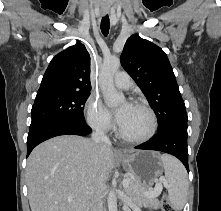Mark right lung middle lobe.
<instances>
[{
  "label": "right lung middle lobe",
  "mask_w": 221,
  "mask_h": 211,
  "mask_svg": "<svg viewBox=\"0 0 221 211\" xmlns=\"http://www.w3.org/2000/svg\"><path fill=\"white\" fill-rule=\"evenodd\" d=\"M89 95L90 91L37 92L30 127L53 120L85 123L83 105Z\"/></svg>",
  "instance_id": "right-lung-middle-lobe-1"
}]
</instances>
